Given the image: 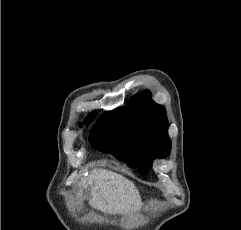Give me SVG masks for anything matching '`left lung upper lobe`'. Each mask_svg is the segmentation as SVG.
I'll return each instance as SVG.
<instances>
[{
  "instance_id": "obj_1",
  "label": "left lung upper lobe",
  "mask_w": 241,
  "mask_h": 230,
  "mask_svg": "<svg viewBox=\"0 0 241 230\" xmlns=\"http://www.w3.org/2000/svg\"><path fill=\"white\" fill-rule=\"evenodd\" d=\"M168 127L165 108L151 100L149 91H142L128 107L103 113L91 129L89 142L94 149L146 172L154 158L170 153Z\"/></svg>"
}]
</instances>
